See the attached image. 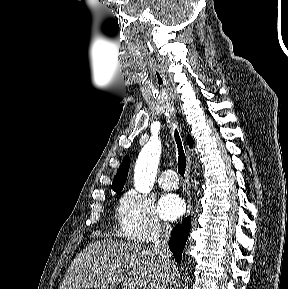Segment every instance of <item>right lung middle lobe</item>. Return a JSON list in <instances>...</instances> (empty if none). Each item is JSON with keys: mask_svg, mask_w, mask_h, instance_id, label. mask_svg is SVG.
I'll return each instance as SVG.
<instances>
[{"mask_svg": "<svg viewBox=\"0 0 288 289\" xmlns=\"http://www.w3.org/2000/svg\"><path fill=\"white\" fill-rule=\"evenodd\" d=\"M121 191H116V193L118 194V193H120Z\"/></svg>", "mask_w": 288, "mask_h": 289, "instance_id": "dd1d6c3e", "label": "right lung middle lobe"}]
</instances>
